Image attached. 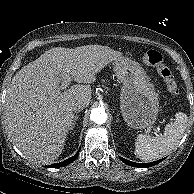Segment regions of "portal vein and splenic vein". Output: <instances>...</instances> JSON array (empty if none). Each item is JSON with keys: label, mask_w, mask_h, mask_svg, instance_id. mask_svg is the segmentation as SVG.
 I'll return each instance as SVG.
<instances>
[{"label": "portal vein and splenic vein", "mask_w": 194, "mask_h": 194, "mask_svg": "<svg viewBox=\"0 0 194 194\" xmlns=\"http://www.w3.org/2000/svg\"><path fill=\"white\" fill-rule=\"evenodd\" d=\"M69 83H70L69 75L63 76V82H62V84L60 86V89H62V90L65 89L67 87V85H69ZM155 131L159 133L160 132V128L156 127Z\"/></svg>", "instance_id": "18ae733b"}]
</instances>
